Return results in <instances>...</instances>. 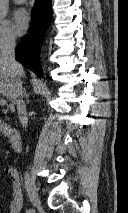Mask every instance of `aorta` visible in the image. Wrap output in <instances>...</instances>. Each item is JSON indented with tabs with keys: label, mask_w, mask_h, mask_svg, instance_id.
I'll list each match as a JSON object with an SVG mask.
<instances>
[{
	"label": "aorta",
	"mask_w": 128,
	"mask_h": 213,
	"mask_svg": "<svg viewBox=\"0 0 128 213\" xmlns=\"http://www.w3.org/2000/svg\"><path fill=\"white\" fill-rule=\"evenodd\" d=\"M8 1L9 0H0V20L5 18L7 15Z\"/></svg>",
	"instance_id": "aorta-1"
}]
</instances>
